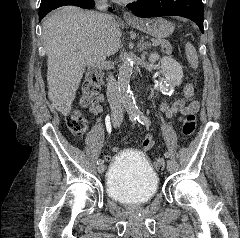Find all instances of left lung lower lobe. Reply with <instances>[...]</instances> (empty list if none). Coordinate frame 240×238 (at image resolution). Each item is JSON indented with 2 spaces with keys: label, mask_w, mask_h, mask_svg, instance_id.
I'll return each mask as SVG.
<instances>
[{
  "label": "left lung lower lobe",
  "mask_w": 240,
  "mask_h": 238,
  "mask_svg": "<svg viewBox=\"0 0 240 238\" xmlns=\"http://www.w3.org/2000/svg\"><path fill=\"white\" fill-rule=\"evenodd\" d=\"M138 17L182 16L195 22L203 29L202 0H138L127 5Z\"/></svg>",
  "instance_id": "left-lung-lower-lobe-1"
}]
</instances>
